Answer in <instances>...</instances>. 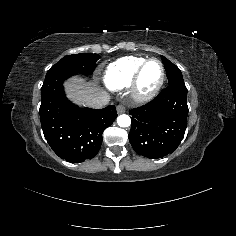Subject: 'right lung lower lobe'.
<instances>
[{"label":"right lung lower lobe","mask_w":236,"mask_h":236,"mask_svg":"<svg viewBox=\"0 0 236 236\" xmlns=\"http://www.w3.org/2000/svg\"><path fill=\"white\" fill-rule=\"evenodd\" d=\"M75 74L45 78L41 88L40 120L44 137L62 159L80 163L93 158L102 144V133L117 117L116 107L79 108L65 96L63 81Z\"/></svg>","instance_id":"right-lung-lower-lobe-1"}]
</instances>
